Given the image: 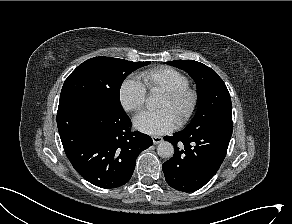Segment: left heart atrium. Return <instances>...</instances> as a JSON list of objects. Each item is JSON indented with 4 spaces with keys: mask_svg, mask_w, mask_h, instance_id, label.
<instances>
[{
    "mask_svg": "<svg viewBox=\"0 0 292 224\" xmlns=\"http://www.w3.org/2000/svg\"><path fill=\"white\" fill-rule=\"evenodd\" d=\"M176 123V118L168 109L144 111L134 118L135 128L150 135L171 132L176 127Z\"/></svg>",
    "mask_w": 292,
    "mask_h": 224,
    "instance_id": "left-heart-atrium-1",
    "label": "left heart atrium"
}]
</instances>
